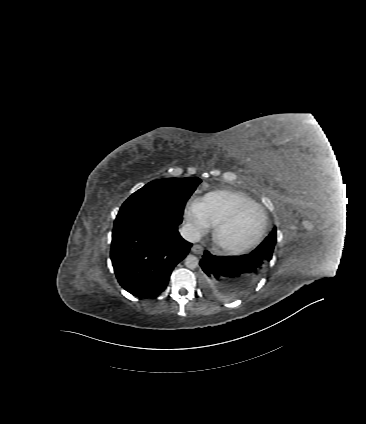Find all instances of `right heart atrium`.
I'll return each instance as SVG.
<instances>
[{"instance_id": "1", "label": "right heart atrium", "mask_w": 366, "mask_h": 424, "mask_svg": "<svg viewBox=\"0 0 366 424\" xmlns=\"http://www.w3.org/2000/svg\"><path fill=\"white\" fill-rule=\"evenodd\" d=\"M185 220L193 235L201 236L207 231L210 225L203 213L201 199L195 198L188 203L185 210Z\"/></svg>"}]
</instances>
